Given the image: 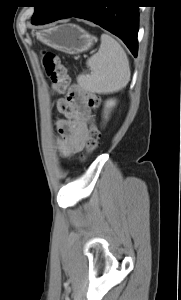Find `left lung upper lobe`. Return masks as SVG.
<instances>
[{"mask_svg": "<svg viewBox=\"0 0 181 300\" xmlns=\"http://www.w3.org/2000/svg\"><path fill=\"white\" fill-rule=\"evenodd\" d=\"M32 2L36 4V7L31 22L40 25L53 11L57 0H35Z\"/></svg>", "mask_w": 181, "mask_h": 300, "instance_id": "obj_1", "label": "left lung upper lobe"}]
</instances>
